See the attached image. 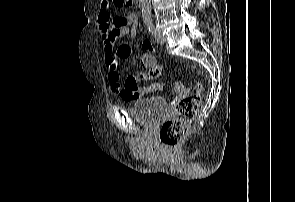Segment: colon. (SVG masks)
Masks as SVG:
<instances>
[{
  "label": "colon",
  "instance_id": "1",
  "mask_svg": "<svg viewBox=\"0 0 295 202\" xmlns=\"http://www.w3.org/2000/svg\"><path fill=\"white\" fill-rule=\"evenodd\" d=\"M111 2L119 7H130L133 0H111ZM140 65H143L145 70H137V75L158 74L163 70V66L157 64V56L154 52H143V56L139 57ZM139 79L128 77L126 80L125 90H138ZM165 87L163 83L147 82L143 85V90L160 91ZM172 87L175 91L181 92L184 85L181 82H174ZM195 93L190 95V98L180 100L179 107H175L172 118L166 120L160 129V139L168 146H176L187 135L189 126L197 114L202 103L203 87L200 82H195Z\"/></svg>",
  "mask_w": 295,
  "mask_h": 202
}]
</instances>
